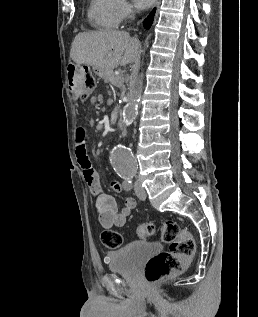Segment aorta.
Wrapping results in <instances>:
<instances>
[{"instance_id": "aorta-1", "label": "aorta", "mask_w": 258, "mask_h": 317, "mask_svg": "<svg viewBox=\"0 0 258 317\" xmlns=\"http://www.w3.org/2000/svg\"><path fill=\"white\" fill-rule=\"evenodd\" d=\"M137 110L138 98L133 95L123 109V123L126 126L134 122ZM111 161L115 171L122 178H132L137 172V160L131 150L126 147L117 146L113 151Z\"/></svg>"}]
</instances>
